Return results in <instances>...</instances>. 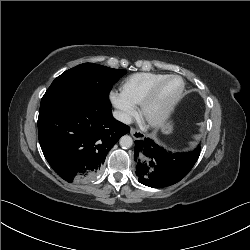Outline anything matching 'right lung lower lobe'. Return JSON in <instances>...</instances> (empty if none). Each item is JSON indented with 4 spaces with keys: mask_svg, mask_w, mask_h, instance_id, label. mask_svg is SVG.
<instances>
[{
    "mask_svg": "<svg viewBox=\"0 0 250 250\" xmlns=\"http://www.w3.org/2000/svg\"><path fill=\"white\" fill-rule=\"evenodd\" d=\"M128 132L130 128L112 116L109 99L96 94L73 93L39 111L41 149L67 182L96 177L108 151Z\"/></svg>",
    "mask_w": 250,
    "mask_h": 250,
    "instance_id": "98d812e1",
    "label": "right lung lower lobe"
}]
</instances>
